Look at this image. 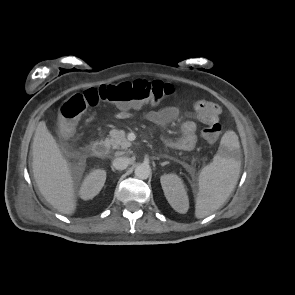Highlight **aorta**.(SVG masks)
<instances>
[{
	"label": "aorta",
	"mask_w": 295,
	"mask_h": 295,
	"mask_svg": "<svg viewBox=\"0 0 295 295\" xmlns=\"http://www.w3.org/2000/svg\"><path fill=\"white\" fill-rule=\"evenodd\" d=\"M135 176L139 179H147L151 175V168L149 165L140 164L135 168Z\"/></svg>",
	"instance_id": "762f6f07"
}]
</instances>
